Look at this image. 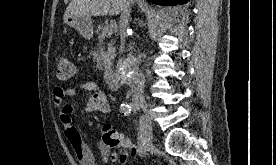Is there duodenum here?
<instances>
[{"mask_svg": "<svg viewBox=\"0 0 276 165\" xmlns=\"http://www.w3.org/2000/svg\"><path fill=\"white\" fill-rule=\"evenodd\" d=\"M120 74L114 67L108 68L105 71V81L111 90H117L120 87Z\"/></svg>", "mask_w": 276, "mask_h": 165, "instance_id": "410a0bca", "label": "duodenum"}]
</instances>
